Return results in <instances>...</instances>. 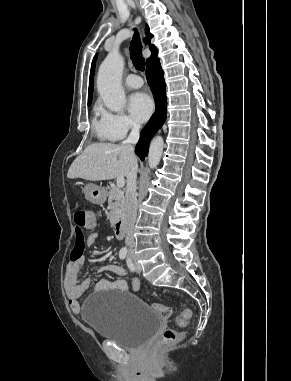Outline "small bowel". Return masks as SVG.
Returning <instances> with one entry per match:
<instances>
[{
    "label": "small bowel",
    "instance_id": "small-bowel-1",
    "mask_svg": "<svg viewBox=\"0 0 291 381\" xmlns=\"http://www.w3.org/2000/svg\"><path fill=\"white\" fill-rule=\"evenodd\" d=\"M97 238L98 235L96 233H93L87 237L85 242L88 246H92L96 243ZM82 243L84 242L82 241V239L78 237L76 233V245L71 253L70 260L67 264L64 280V289L67 296L68 304L74 313H78L80 311L81 305L79 303V297L90 285V281L88 279H80L78 276L79 267L84 262V258L80 251ZM107 270L118 277H123L126 275L125 269L120 265H109L107 267ZM139 288L140 280L137 277H133L131 280V289L133 291H138ZM95 289L98 292L108 290L124 292L128 290V284L123 279H117L113 281L102 279L97 282Z\"/></svg>",
    "mask_w": 291,
    "mask_h": 381
}]
</instances>
